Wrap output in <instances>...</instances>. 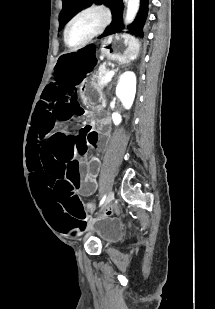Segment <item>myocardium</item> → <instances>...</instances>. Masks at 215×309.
Returning a JSON list of instances; mask_svg holds the SVG:
<instances>
[{
	"label": "myocardium",
	"instance_id": "myocardium-1",
	"mask_svg": "<svg viewBox=\"0 0 215 309\" xmlns=\"http://www.w3.org/2000/svg\"><path fill=\"white\" fill-rule=\"evenodd\" d=\"M109 13L100 8H88L77 13L65 26L63 31V41L68 48H83L93 38L101 33L104 26H108ZM82 25L83 31L80 38L73 41L72 31L76 26Z\"/></svg>",
	"mask_w": 215,
	"mask_h": 309
}]
</instances>
